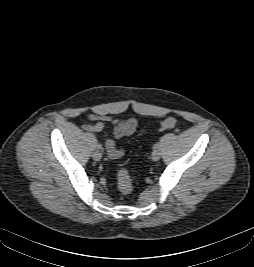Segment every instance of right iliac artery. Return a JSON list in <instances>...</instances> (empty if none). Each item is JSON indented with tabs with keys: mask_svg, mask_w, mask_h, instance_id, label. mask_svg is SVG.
Wrapping results in <instances>:
<instances>
[{
	"mask_svg": "<svg viewBox=\"0 0 254 267\" xmlns=\"http://www.w3.org/2000/svg\"><path fill=\"white\" fill-rule=\"evenodd\" d=\"M96 147H97L98 149H101V148H102V145H101L100 143H98V144L96 145Z\"/></svg>",
	"mask_w": 254,
	"mask_h": 267,
	"instance_id": "1",
	"label": "right iliac artery"
}]
</instances>
